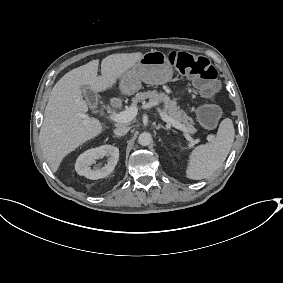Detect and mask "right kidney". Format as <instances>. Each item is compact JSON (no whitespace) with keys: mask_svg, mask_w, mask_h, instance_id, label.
<instances>
[{"mask_svg":"<svg viewBox=\"0 0 283 283\" xmlns=\"http://www.w3.org/2000/svg\"><path fill=\"white\" fill-rule=\"evenodd\" d=\"M107 157V164L100 168V164L93 170L90 168L97 159ZM119 159V149L112 145H103L80 154L75 163V170L79 175L97 180L108 176L115 168Z\"/></svg>","mask_w":283,"mask_h":283,"instance_id":"ca27d5eb","label":"right kidney"}]
</instances>
